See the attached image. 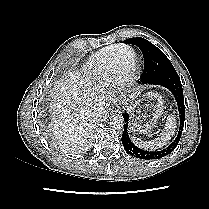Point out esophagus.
<instances>
[{"instance_id":"obj_1","label":"esophagus","mask_w":209,"mask_h":209,"mask_svg":"<svg viewBox=\"0 0 209 209\" xmlns=\"http://www.w3.org/2000/svg\"><path fill=\"white\" fill-rule=\"evenodd\" d=\"M112 109H113L115 112H117V111L119 110L118 104H114V105L112 106Z\"/></svg>"}]
</instances>
